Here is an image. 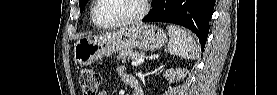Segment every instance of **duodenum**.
<instances>
[{"label":"duodenum","instance_id":"obj_1","mask_svg":"<svg viewBox=\"0 0 277 95\" xmlns=\"http://www.w3.org/2000/svg\"><path fill=\"white\" fill-rule=\"evenodd\" d=\"M129 85L132 89V95H140L142 94L141 93V87L138 83V81L134 78H132L130 81H129Z\"/></svg>","mask_w":277,"mask_h":95}]
</instances>
